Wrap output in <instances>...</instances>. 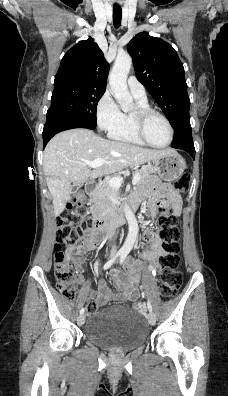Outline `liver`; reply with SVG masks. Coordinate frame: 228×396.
Listing matches in <instances>:
<instances>
[{
  "instance_id": "1",
  "label": "liver",
  "mask_w": 228,
  "mask_h": 396,
  "mask_svg": "<svg viewBox=\"0 0 228 396\" xmlns=\"http://www.w3.org/2000/svg\"><path fill=\"white\" fill-rule=\"evenodd\" d=\"M170 151L107 140L88 129H71L57 134L47 144L43 158L55 216L64 210L74 185H80L88 178L95 179L156 160ZM99 158L107 163L90 170L86 162Z\"/></svg>"
}]
</instances>
